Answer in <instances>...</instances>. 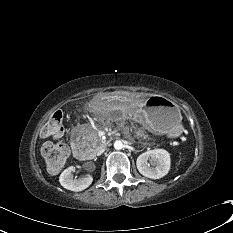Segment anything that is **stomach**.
Masks as SVG:
<instances>
[{
	"instance_id": "0dacf381",
	"label": "stomach",
	"mask_w": 233,
	"mask_h": 233,
	"mask_svg": "<svg viewBox=\"0 0 233 233\" xmlns=\"http://www.w3.org/2000/svg\"><path fill=\"white\" fill-rule=\"evenodd\" d=\"M91 107L95 113L114 118H125L135 112L136 120L157 134L176 137L181 131V113L178 105L160 95L147 100L142 96L132 99L106 96L94 100Z\"/></svg>"
}]
</instances>
